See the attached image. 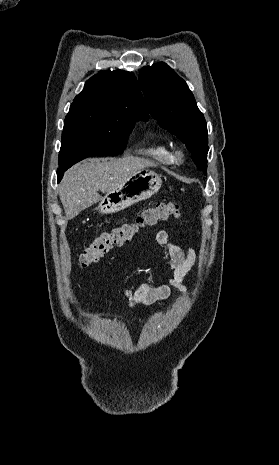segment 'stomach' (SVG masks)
<instances>
[{
  "mask_svg": "<svg viewBox=\"0 0 279 465\" xmlns=\"http://www.w3.org/2000/svg\"><path fill=\"white\" fill-rule=\"evenodd\" d=\"M162 186L160 176L149 170H140L130 176L120 186L106 194L97 210L102 214H112L124 210L135 203L150 198Z\"/></svg>",
  "mask_w": 279,
  "mask_h": 465,
  "instance_id": "obj_1",
  "label": "stomach"
}]
</instances>
